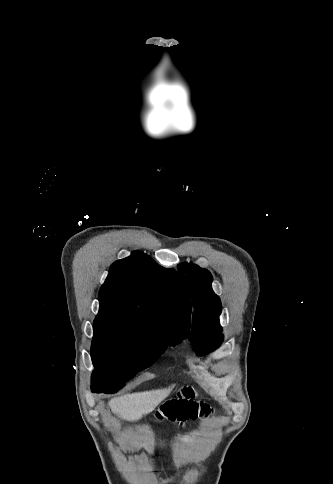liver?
I'll list each match as a JSON object with an SVG mask.
<instances>
[{"label": "liver", "instance_id": "6515ba94", "mask_svg": "<svg viewBox=\"0 0 333 484\" xmlns=\"http://www.w3.org/2000/svg\"><path fill=\"white\" fill-rule=\"evenodd\" d=\"M172 387L127 394L109 401L112 412L127 421H136L150 413L168 397Z\"/></svg>", "mask_w": 333, "mask_h": 484}]
</instances>
